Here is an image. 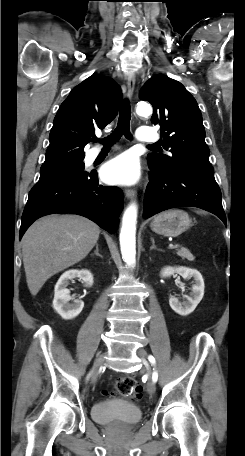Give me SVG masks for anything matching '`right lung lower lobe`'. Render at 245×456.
Returning <instances> with one entry per match:
<instances>
[{"label": "right lung lower lobe", "instance_id": "1", "mask_svg": "<svg viewBox=\"0 0 245 456\" xmlns=\"http://www.w3.org/2000/svg\"><path fill=\"white\" fill-rule=\"evenodd\" d=\"M123 199L120 188L100 185L96 172L38 181L28 196L19 239L36 219L53 213L82 215L114 233Z\"/></svg>", "mask_w": 245, "mask_h": 456}]
</instances>
